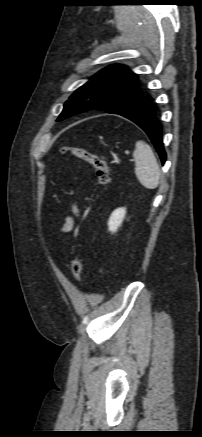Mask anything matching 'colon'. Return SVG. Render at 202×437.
I'll list each match as a JSON object with an SVG mask.
<instances>
[{"instance_id": "1", "label": "colon", "mask_w": 202, "mask_h": 437, "mask_svg": "<svg viewBox=\"0 0 202 437\" xmlns=\"http://www.w3.org/2000/svg\"><path fill=\"white\" fill-rule=\"evenodd\" d=\"M61 151L90 164L95 170L99 185L107 186L110 183L111 176L109 169L105 159L101 155L83 147H63ZM82 269V261L80 257L75 254L71 261V272L76 281L80 280Z\"/></svg>"}]
</instances>
